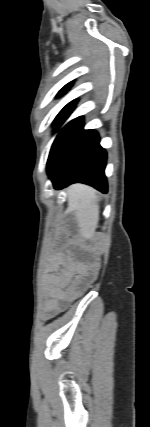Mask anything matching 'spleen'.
Returning a JSON list of instances; mask_svg holds the SVG:
<instances>
[{
	"label": "spleen",
	"instance_id": "1",
	"mask_svg": "<svg viewBox=\"0 0 150 427\" xmlns=\"http://www.w3.org/2000/svg\"><path fill=\"white\" fill-rule=\"evenodd\" d=\"M99 201V196L91 187L75 185L68 190L69 206L74 208L84 236L91 237L95 234L99 221Z\"/></svg>",
	"mask_w": 150,
	"mask_h": 427
}]
</instances>
